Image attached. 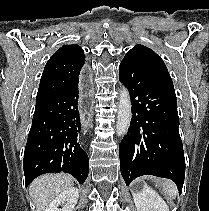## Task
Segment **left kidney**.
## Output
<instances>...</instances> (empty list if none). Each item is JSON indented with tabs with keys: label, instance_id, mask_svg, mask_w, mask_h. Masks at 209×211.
Masks as SVG:
<instances>
[{
	"label": "left kidney",
	"instance_id": "5707ae66",
	"mask_svg": "<svg viewBox=\"0 0 209 211\" xmlns=\"http://www.w3.org/2000/svg\"><path fill=\"white\" fill-rule=\"evenodd\" d=\"M137 211H169L165 201L150 187L133 191Z\"/></svg>",
	"mask_w": 209,
	"mask_h": 211
}]
</instances>
